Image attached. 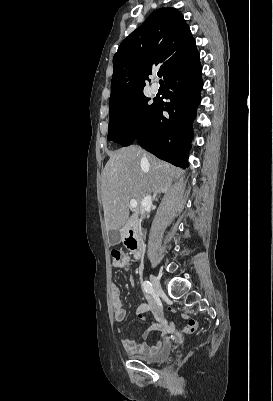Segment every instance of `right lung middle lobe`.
<instances>
[{"mask_svg":"<svg viewBox=\"0 0 273 401\" xmlns=\"http://www.w3.org/2000/svg\"><path fill=\"white\" fill-rule=\"evenodd\" d=\"M149 100L140 93L109 107L108 140L123 146L132 144L139 130L150 122L154 112L157 101L148 104Z\"/></svg>","mask_w":273,"mask_h":401,"instance_id":"right-lung-middle-lobe-1","label":"right lung middle lobe"}]
</instances>
